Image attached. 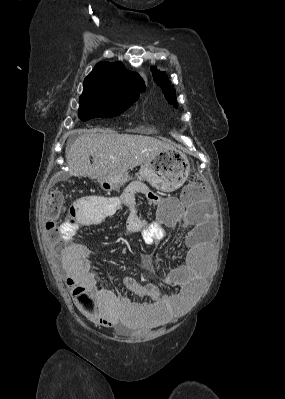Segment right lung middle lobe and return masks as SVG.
<instances>
[{"mask_svg": "<svg viewBox=\"0 0 285 399\" xmlns=\"http://www.w3.org/2000/svg\"><path fill=\"white\" fill-rule=\"evenodd\" d=\"M139 97L137 95H125L111 98H80L78 117L87 121L101 117H115L126 111Z\"/></svg>", "mask_w": 285, "mask_h": 399, "instance_id": "dd1d6c3e", "label": "right lung middle lobe"}]
</instances>
